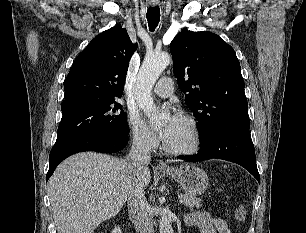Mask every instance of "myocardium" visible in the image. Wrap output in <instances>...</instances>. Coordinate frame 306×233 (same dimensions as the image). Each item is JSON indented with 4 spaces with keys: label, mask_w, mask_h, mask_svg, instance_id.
<instances>
[{
    "label": "myocardium",
    "mask_w": 306,
    "mask_h": 233,
    "mask_svg": "<svg viewBox=\"0 0 306 233\" xmlns=\"http://www.w3.org/2000/svg\"><path fill=\"white\" fill-rule=\"evenodd\" d=\"M180 118L185 120L191 127L193 133V143L190 147L185 149H173L170 148L165 142L163 143V150L170 155L174 156H189L197 153L201 147L202 134L200 126L196 119L189 114H181Z\"/></svg>",
    "instance_id": "1"
}]
</instances>
